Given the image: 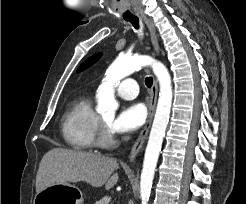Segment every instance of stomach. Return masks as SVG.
I'll return each mask as SVG.
<instances>
[{
	"instance_id": "stomach-1",
	"label": "stomach",
	"mask_w": 246,
	"mask_h": 204,
	"mask_svg": "<svg viewBox=\"0 0 246 204\" xmlns=\"http://www.w3.org/2000/svg\"><path fill=\"white\" fill-rule=\"evenodd\" d=\"M33 204H83V195L69 183L54 184L37 193Z\"/></svg>"
}]
</instances>
